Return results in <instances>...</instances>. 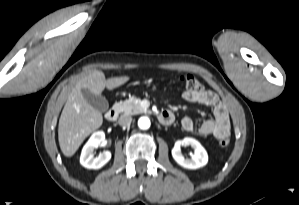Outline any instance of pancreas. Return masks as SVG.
Segmentation results:
<instances>
[{"label": "pancreas", "instance_id": "obj_1", "mask_svg": "<svg viewBox=\"0 0 299 205\" xmlns=\"http://www.w3.org/2000/svg\"><path fill=\"white\" fill-rule=\"evenodd\" d=\"M140 102V98L131 97L128 100L116 103L115 108L125 115H136L146 112V110L141 107Z\"/></svg>", "mask_w": 299, "mask_h": 205}]
</instances>
